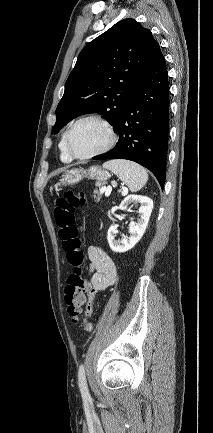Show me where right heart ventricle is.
Here are the masks:
<instances>
[{"instance_id": "obj_1", "label": "right heart ventricle", "mask_w": 213, "mask_h": 433, "mask_svg": "<svg viewBox=\"0 0 213 433\" xmlns=\"http://www.w3.org/2000/svg\"><path fill=\"white\" fill-rule=\"evenodd\" d=\"M65 134H66V132H64L62 134L60 141H59V144H58L59 156H60L61 161L71 162L72 157L68 154L66 147H65Z\"/></svg>"}]
</instances>
